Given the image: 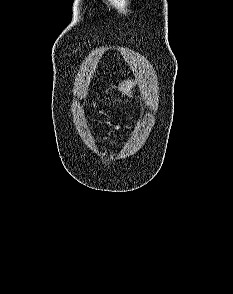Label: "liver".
Wrapping results in <instances>:
<instances>
[{"label":"liver","mask_w":233,"mask_h":294,"mask_svg":"<svg viewBox=\"0 0 233 294\" xmlns=\"http://www.w3.org/2000/svg\"><path fill=\"white\" fill-rule=\"evenodd\" d=\"M133 82L132 81H129V80H127V81H125V82H123V83H121V84H119V91H121L122 92V94H126V95H131V89H132V87H133Z\"/></svg>","instance_id":"liver-1"}]
</instances>
